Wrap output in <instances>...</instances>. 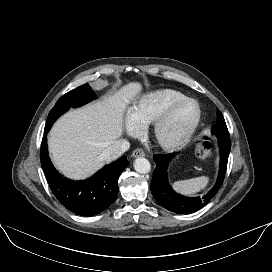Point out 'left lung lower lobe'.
Here are the masks:
<instances>
[{
  "label": "left lung lower lobe",
  "mask_w": 272,
  "mask_h": 272,
  "mask_svg": "<svg viewBox=\"0 0 272 272\" xmlns=\"http://www.w3.org/2000/svg\"><path fill=\"white\" fill-rule=\"evenodd\" d=\"M220 147V169L216 184L206 194L198 197H185L176 193L169 184L167 177V166L175 154L154 155L156 168L153 173L150 185L151 192L157 202L171 212L179 214L193 213L206 204L216 195L223 184L227 168L228 156L231 149V142L219 141Z\"/></svg>",
  "instance_id": "left-lung-lower-lobe-1"
}]
</instances>
